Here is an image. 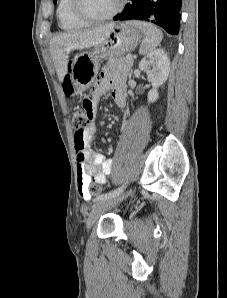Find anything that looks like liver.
<instances>
[{
    "label": "liver",
    "mask_w": 227,
    "mask_h": 298,
    "mask_svg": "<svg viewBox=\"0 0 227 298\" xmlns=\"http://www.w3.org/2000/svg\"><path fill=\"white\" fill-rule=\"evenodd\" d=\"M114 27L115 23H109L91 30L61 33L51 39V55L61 83L67 74L70 53L99 45Z\"/></svg>",
    "instance_id": "6515ba94"
}]
</instances>
